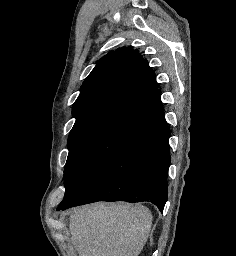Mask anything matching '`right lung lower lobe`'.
Masks as SVG:
<instances>
[{"instance_id": "right-lung-lower-lobe-1", "label": "right lung lower lobe", "mask_w": 236, "mask_h": 256, "mask_svg": "<svg viewBox=\"0 0 236 256\" xmlns=\"http://www.w3.org/2000/svg\"><path fill=\"white\" fill-rule=\"evenodd\" d=\"M170 130L164 118L103 162L57 210L96 201H150L163 212L167 201Z\"/></svg>"}]
</instances>
